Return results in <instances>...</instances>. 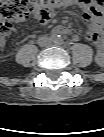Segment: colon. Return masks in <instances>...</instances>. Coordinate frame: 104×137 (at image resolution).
I'll list each match as a JSON object with an SVG mask.
<instances>
[{
  "label": "colon",
  "mask_w": 104,
  "mask_h": 137,
  "mask_svg": "<svg viewBox=\"0 0 104 137\" xmlns=\"http://www.w3.org/2000/svg\"><path fill=\"white\" fill-rule=\"evenodd\" d=\"M79 2V0H5L0 5V35H7L11 31L12 22L36 14L47 20L58 8ZM97 6L103 5V0H94Z\"/></svg>",
  "instance_id": "colon-1"
}]
</instances>
